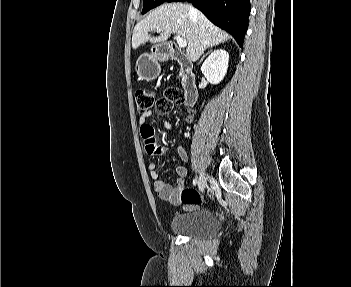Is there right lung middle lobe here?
Listing matches in <instances>:
<instances>
[{"mask_svg":"<svg viewBox=\"0 0 351 287\" xmlns=\"http://www.w3.org/2000/svg\"><path fill=\"white\" fill-rule=\"evenodd\" d=\"M163 1H166V0H144L142 14H145L149 10L159 6Z\"/></svg>","mask_w":351,"mask_h":287,"instance_id":"dd1d6c3e","label":"right lung middle lobe"}]
</instances>
